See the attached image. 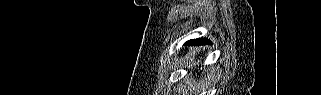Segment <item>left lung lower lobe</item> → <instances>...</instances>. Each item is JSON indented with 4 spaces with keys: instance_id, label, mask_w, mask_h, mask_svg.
<instances>
[{
    "instance_id": "left-lung-lower-lobe-1",
    "label": "left lung lower lobe",
    "mask_w": 321,
    "mask_h": 95,
    "mask_svg": "<svg viewBox=\"0 0 321 95\" xmlns=\"http://www.w3.org/2000/svg\"><path fill=\"white\" fill-rule=\"evenodd\" d=\"M209 43V40L206 38H198V39H193L187 41L185 44L186 45H192V46H200V45H205Z\"/></svg>"
}]
</instances>
